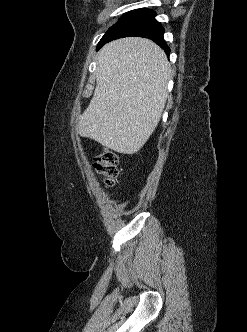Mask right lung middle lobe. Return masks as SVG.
<instances>
[{"label":"right lung middle lobe","mask_w":247,"mask_h":332,"mask_svg":"<svg viewBox=\"0 0 247 332\" xmlns=\"http://www.w3.org/2000/svg\"><path fill=\"white\" fill-rule=\"evenodd\" d=\"M131 12H133V11H131ZM131 12L126 13L124 16L128 15V14L131 13ZM124 16H123V17H124Z\"/></svg>","instance_id":"obj_1"}]
</instances>
